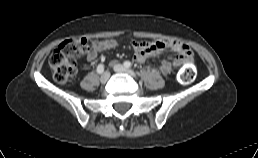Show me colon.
<instances>
[{
  "label": "colon",
  "instance_id": "5ec220e1",
  "mask_svg": "<svg viewBox=\"0 0 258 158\" xmlns=\"http://www.w3.org/2000/svg\"><path fill=\"white\" fill-rule=\"evenodd\" d=\"M98 42L86 38H73L63 41L52 53L49 66L56 82L64 84L74 75L76 71V60ZM194 79V70L191 62L180 72L179 80L183 84H189Z\"/></svg>",
  "mask_w": 258,
  "mask_h": 158
}]
</instances>
